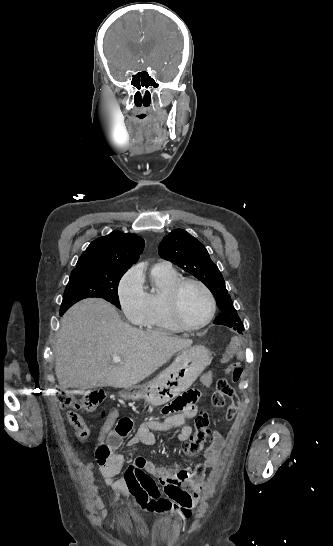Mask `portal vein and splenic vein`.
Wrapping results in <instances>:
<instances>
[{"label": "portal vein and splenic vein", "mask_w": 333, "mask_h": 546, "mask_svg": "<svg viewBox=\"0 0 333 546\" xmlns=\"http://www.w3.org/2000/svg\"><path fill=\"white\" fill-rule=\"evenodd\" d=\"M113 362L114 363H120V362H122V359H121L120 356L114 355L113 356Z\"/></svg>", "instance_id": "18ae733b"}]
</instances>
